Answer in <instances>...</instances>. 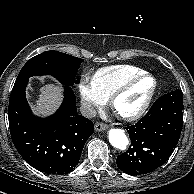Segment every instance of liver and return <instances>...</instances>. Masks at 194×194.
I'll list each match as a JSON object with an SVG mask.
<instances>
[{"label": "liver", "mask_w": 194, "mask_h": 194, "mask_svg": "<svg viewBox=\"0 0 194 194\" xmlns=\"http://www.w3.org/2000/svg\"><path fill=\"white\" fill-rule=\"evenodd\" d=\"M62 101V88L55 84H46L40 88V95L33 108L35 114L47 116L52 114Z\"/></svg>", "instance_id": "obj_1"}]
</instances>
